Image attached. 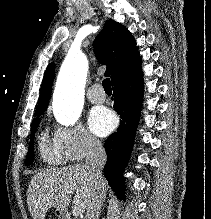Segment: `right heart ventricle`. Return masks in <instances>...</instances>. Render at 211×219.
Wrapping results in <instances>:
<instances>
[{
  "label": "right heart ventricle",
  "instance_id": "1",
  "mask_svg": "<svg viewBox=\"0 0 211 219\" xmlns=\"http://www.w3.org/2000/svg\"><path fill=\"white\" fill-rule=\"evenodd\" d=\"M39 152L41 158L49 164H61L66 159L55 143L43 134L39 140Z\"/></svg>",
  "mask_w": 211,
  "mask_h": 219
}]
</instances>
